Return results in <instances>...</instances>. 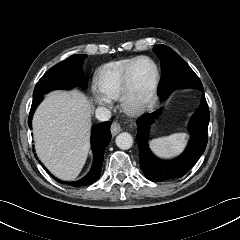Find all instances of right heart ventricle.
Masks as SVG:
<instances>
[{"mask_svg":"<svg viewBox=\"0 0 240 240\" xmlns=\"http://www.w3.org/2000/svg\"><path fill=\"white\" fill-rule=\"evenodd\" d=\"M135 59L136 57L114 60L98 69L96 82L105 96L110 99L120 97L124 74Z\"/></svg>","mask_w":240,"mask_h":240,"instance_id":"right-heart-ventricle-1","label":"right heart ventricle"}]
</instances>
